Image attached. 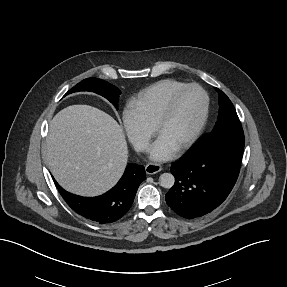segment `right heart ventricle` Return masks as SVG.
Returning <instances> with one entry per match:
<instances>
[{"mask_svg":"<svg viewBox=\"0 0 287 287\" xmlns=\"http://www.w3.org/2000/svg\"><path fill=\"white\" fill-rule=\"evenodd\" d=\"M184 85L186 84L174 79L158 81L133 98L128 110L152 130L169 97Z\"/></svg>","mask_w":287,"mask_h":287,"instance_id":"obj_1","label":"right heart ventricle"}]
</instances>
